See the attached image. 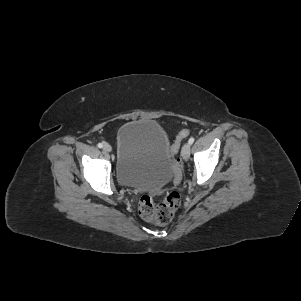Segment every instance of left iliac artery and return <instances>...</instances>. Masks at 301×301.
<instances>
[{"label":"left iliac artery","instance_id":"1","mask_svg":"<svg viewBox=\"0 0 301 301\" xmlns=\"http://www.w3.org/2000/svg\"><path fill=\"white\" fill-rule=\"evenodd\" d=\"M194 138L193 137H191L189 140H188V143L190 144V145H192L193 144V142H194Z\"/></svg>","mask_w":301,"mask_h":301}]
</instances>
